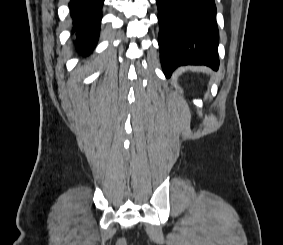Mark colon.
I'll return each instance as SVG.
<instances>
[{"label": "colon", "instance_id": "obj_1", "mask_svg": "<svg viewBox=\"0 0 283 245\" xmlns=\"http://www.w3.org/2000/svg\"><path fill=\"white\" fill-rule=\"evenodd\" d=\"M117 245H126V240L125 239H120L118 241V244Z\"/></svg>", "mask_w": 283, "mask_h": 245}]
</instances>
